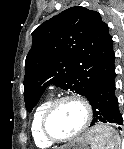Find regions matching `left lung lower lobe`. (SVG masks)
<instances>
[{"instance_id": "0a47b994", "label": "left lung lower lobe", "mask_w": 124, "mask_h": 149, "mask_svg": "<svg viewBox=\"0 0 124 149\" xmlns=\"http://www.w3.org/2000/svg\"><path fill=\"white\" fill-rule=\"evenodd\" d=\"M114 78L115 70L98 82L86 95L93 110V120L90 127L98 122L123 125V118L115 95Z\"/></svg>"}]
</instances>
